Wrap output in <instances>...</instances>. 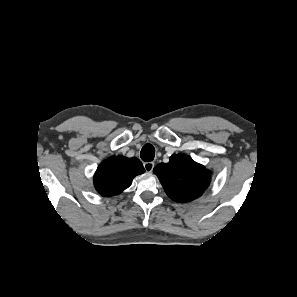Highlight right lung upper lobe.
Returning <instances> with one entry per match:
<instances>
[{"label": "right lung upper lobe", "instance_id": "cb5924a9", "mask_svg": "<svg viewBox=\"0 0 297 297\" xmlns=\"http://www.w3.org/2000/svg\"><path fill=\"white\" fill-rule=\"evenodd\" d=\"M145 169L136 158L112 157L103 161L94 175V185L99 194L110 197L127 189L136 175Z\"/></svg>", "mask_w": 297, "mask_h": 297}]
</instances>
